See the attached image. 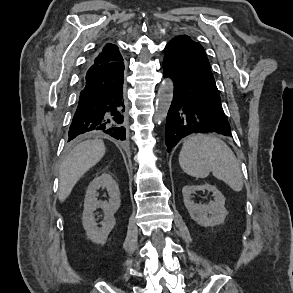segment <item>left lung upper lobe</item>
<instances>
[{"label":"left lung upper lobe","instance_id":"left-lung-upper-lobe-1","mask_svg":"<svg viewBox=\"0 0 293 293\" xmlns=\"http://www.w3.org/2000/svg\"><path fill=\"white\" fill-rule=\"evenodd\" d=\"M170 42L178 45L189 69L196 73L205 84L218 90L203 47L187 35L175 37Z\"/></svg>","mask_w":293,"mask_h":293}]
</instances>
